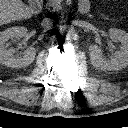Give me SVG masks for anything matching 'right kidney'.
Listing matches in <instances>:
<instances>
[{
    "label": "right kidney",
    "mask_w": 128,
    "mask_h": 128,
    "mask_svg": "<svg viewBox=\"0 0 128 128\" xmlns=\"http://www.w3.org/2000/svg\"><path fill=\"white\" fill-rule=\"evenodd\" d=\"M27 34V28L15 26L0 32V64L11 68H22L31 64L36 56V49L28 47L23 56L14 55L13 48H6V43L9 39L19 40Z\"/></svg>",
    "instance_id": "ca27d5eb"
}]
</instances>
